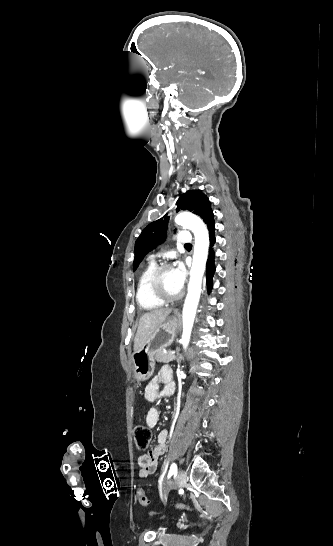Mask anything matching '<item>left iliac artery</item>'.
Segmentation results:
<instances>
[{
  "instance_id": "obj_1",
  "label": "left iliac artery",
  "mask_w": 333,
  "mask_h": 546,
  "mask_svg": "<svg viewBox=\"0 0 333 546\" xmlns=\"http://www.w3.org/2000/svg\"><path fill=\"white\" fill-rule=\"evenodd\" d=\"M177 473V466L175 463H173L170 467L169 473H168V479L173 475Z\"/></svg>"
}]
</instances>
